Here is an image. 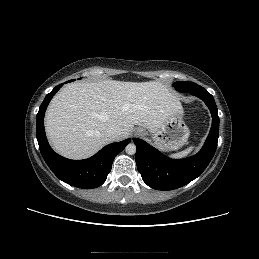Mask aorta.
Masks as SVG:
<instances>
[{
    "instance_id": "obj_1",
    "label": "aorta",
    "mask_w": 259,
    "mask_h": 259,
    "mask_svg": "<svg viewBox=\"0 0 259 259\" xmlns=\"http://www.w3.org/2000/svg\"><path fill=\"white\" fill-rule=\"evenodd\" d=\"M125 151L129 155H133L136 153V145L134 143H130L126 146Z\"/></svg>"
}]
</instances>
